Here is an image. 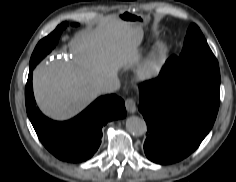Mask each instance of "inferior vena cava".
<instances>
[{"instance_id": "1", "label": "inferior vena cava", "mask_w": 236, "mask_h": 182, "mask_svg": "<svg viewBox=\"0 0 236 182\" xmlns=\"http://www.w3.org/2000/svg\"><path fill=\"white\" fill-rule=\"evenodd\" d=\"M120 88V81L117 77L106 79L99 87L100 93H113Z\"/></svg>"}]
</instances>
